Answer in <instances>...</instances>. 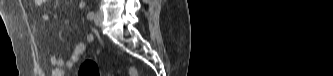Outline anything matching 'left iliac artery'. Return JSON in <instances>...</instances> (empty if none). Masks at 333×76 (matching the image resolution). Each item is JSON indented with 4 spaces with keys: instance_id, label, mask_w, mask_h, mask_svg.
Here are the masks:
<instances>
[{
    "instance_id": "obj_1",
    "label": "left iliac artery",
    "mask_w": 333,
    "mask_h": 76,
    "mask_svg": "<svg viewBox=\"0 0 333 76\" xmlns=\"http://www.w3.org/2000/svg\"><path fill=\"white\" fill-rule=\"evenodd\" d=\"M95 14H94V11H90L87 15V18L92 20L94 18Z\"/></svg>"
}]
</instances>
